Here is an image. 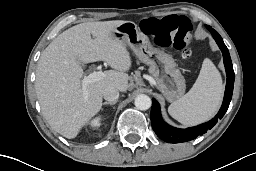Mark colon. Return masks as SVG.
Returning a JSON list of instances; mask_svg holds the SVG:
<instances>
[{
	"mask_svg": "<svg viewBox=\"0 0 256 171\" xmlns=\"http://www.w3.org/2000/svg\"><path fill=\"white\" fill-rule=\"evenodd\" d=\"M141 31L150 36L160 47H173L181 50L185 58L192 56L188 46L193 24L184 16L170 15L164 18H146L140 23Z\"/></svg>",
	"mask_w": 256,
	"mask_h": 171,
	"instance_id": "obj_1",
	"label": "colon"
}]
</instances>
